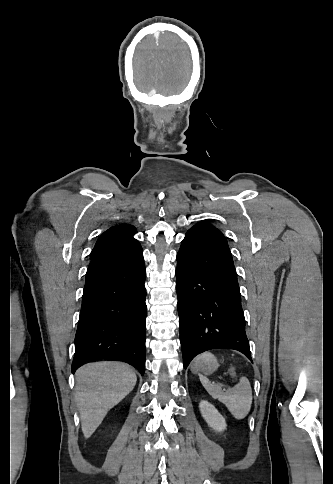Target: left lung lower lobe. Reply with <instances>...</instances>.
I'll use <instances>...</instances> for the list:
<instances>
[{
  "instance_id": "obj_1",
  "label": "left lung lower lobe",
  "mask_w": 333,
  "mask_h": 484,
  "mask_svg": "<svg viewBox=\"0 0 333 484\" xmlns=\"http://www.w3.org/2000/svg\"><path fill=\"white\" fill-rule=\"evenodd\" d=\"M176 277L184 368L196 355L218 348L240 351L252 361L236 270L217 228L199 223L188 230Z\"/></svg>"
}]
</instances>
